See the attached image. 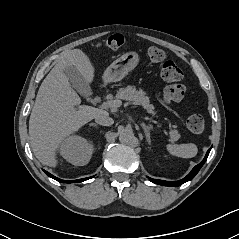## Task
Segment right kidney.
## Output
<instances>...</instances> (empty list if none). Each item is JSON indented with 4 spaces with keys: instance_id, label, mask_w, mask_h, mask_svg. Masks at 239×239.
<instances>
[{
    "instance_id": "right-kidney-1",
    "label": "right kidney",
    "mask_w": 239,
    "mask_h": 239,
    "mask_svg": "<svg viewBox=\"0 0 239 239\" xmlns=\"http://www.w3.org/2000/svg\"><path fill=\"white\" fill-rule=\"evenodd\" d=\"M92 153L93 144L78 135L67 137L60 145L61 156L76 166L86 165L90 161Z\"/></svg>"
}]
</instances>
